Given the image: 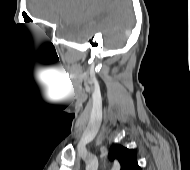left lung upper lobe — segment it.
<instances>
[{"label": "left lung upper lobe", "instance_id": "obj_1", "mask_svg": "<svg viewBox=\"0 0 190 170\" xmlns=\"http://www.w3.org/2000/svg\"><path fill=\"white\" fill-rule=\"evenodd\" d=\"M109 158L117 159L121 170H141L137 163L136 152L121 145H114L109 150Z\"/></svg>", "mask_w": 190, "mask_h": 170}]
</instances>
